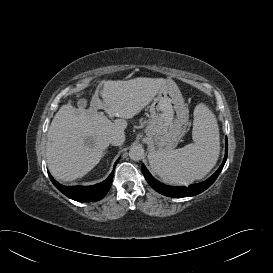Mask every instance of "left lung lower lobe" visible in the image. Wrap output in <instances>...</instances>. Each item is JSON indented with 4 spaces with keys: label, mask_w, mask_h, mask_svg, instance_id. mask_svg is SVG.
Here are the masks:
<instances>
[{
    "label": "left lung lower lobe",
    "mask_w": 273,
    "mask_h": 273,
    "mask_svg": "<svg viewBox=\"0 0 273 273\" xmlns=\"http://www.w3.org/2000/svg\"><path fill=\"white\" fill-rule=\"evenodd\" d=\"M227 151H228V144H227V138H226L225 157L223 159L221 166L218 168V170L206 181L198 183V184L190 185L189 187L164 185L158 182L157 180H155L143 164L141 166V169L145 179L150 184V186L153 189H155L157 192H159L160 194H163L169 197H175V198L194 196L203 192L207 188H209L217 179L218 175L220 174V172L222 171L225 165V162L227 159Z\"/></svg>",
    "instance_id": "1"
}]
</instances>
